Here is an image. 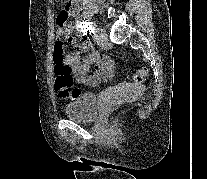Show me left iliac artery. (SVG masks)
I'll use <instances>...</instances> for the list:
<instances>
[{
	"instance_id": "1",
	"label": "left iliac artery",
	"mask_w": 207,
	"mask_h": 179,
	"mask_svg": "<svg viewBox=\"0 0 207 179\" xmlns=\"http://www.w3.org/2000/svg\"><path fill=\"white\" fill-rule=\"evenodd\" d=\"M86 24L90 26L91 32L93 33L96 32V24L94 22H89V23L86 22Z\"/></svg>"
}]
</instances>
